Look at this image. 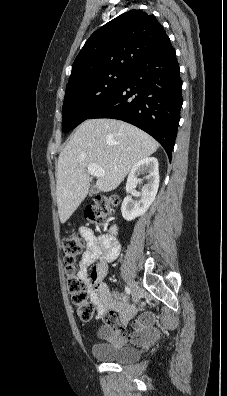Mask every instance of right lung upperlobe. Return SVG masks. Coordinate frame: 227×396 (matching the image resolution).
Instances as JSON below:
<instances>
[{"label":"right lung upper lobe","mask_w":227,"mask_h":396,"mask_svg":"<svg viewBox=\"0 0 227 396\" xmlns=\"http://www.w3.org/2000/svg\"><path fill=\"white\" fill-rule=\"evenodd\" d=\"M170 39L154 15L130 10L95 31L76 57L67 87L114 70L130 71Z\"/></svg>","instance_id":"cb5924a9"}]
</instances>
